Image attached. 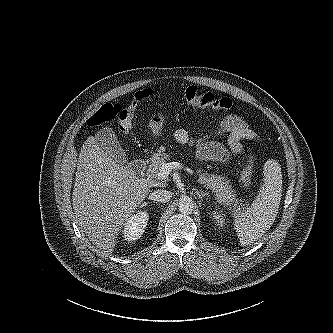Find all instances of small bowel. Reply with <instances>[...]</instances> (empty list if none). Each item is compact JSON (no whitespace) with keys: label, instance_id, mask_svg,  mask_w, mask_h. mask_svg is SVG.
Returning a JSON list of instances; mask_svg holds the SVG:
<instances>
[{"label":"small bowel","instance_id":"small-bowel-1","mask_svg":"<svg viewBox=\"0 0 333 333\" xmlns=\"http://www.w3.org/2000/svg\"><path fill=\"white\" fill-rule=\"evenodd\" d=\"M226 134L229 150L214 139ZM177 142L196 148L200 161L226 163L232 156L240 155L243 151L242 140H257L255 130L238 114L225 116L208 132L192 136L186 129L179 128L174 132Z\"/></svg>","mask_w":333,"mask_h":333}]
</instances>
